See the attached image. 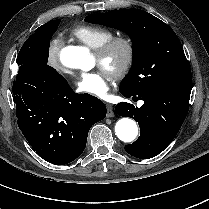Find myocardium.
Segmentation results:
<instances>
[{
	"label": "myocardium",
	"mask_w": 209,
	"mask_h": 209,
	"mask_svg": "<svg viewBox=\"0 0 209 209\" xmlns=\"http://www.w3.org/2000/svg\"><path fill=\"white\" fill-rule=\"evenodd\" d=\"M118 49H122L123 58L115 67L108 70V74L115 79L124 77L131 68L135 59L134 42L126 36H113L95 50L99 63L107 64Z\"/></svg>",
	"instance_id": "1"
}]
</instances>
